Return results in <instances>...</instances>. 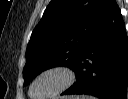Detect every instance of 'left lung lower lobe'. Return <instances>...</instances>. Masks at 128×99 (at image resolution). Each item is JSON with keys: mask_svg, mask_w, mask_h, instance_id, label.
Returning <instances> with one entry per match:
<instances>
[{"mask_svg": "<svg viewBox=\"0 0 128 99\" xmlns=\"http://www.w3.org/2000/svg\"><path fill=\"white\" fill-rule=\"evenodd\" d=\"M72 70L78 77L77 81L63 95L87 94L100 99H127L128 37L115 0H108Z\"/></svg>", "mask_w": 128, "mask_h": 99, "instance_id": "left-lung-lower-lobe-1", "label": "left lung lower lobe"}]
</instances>
